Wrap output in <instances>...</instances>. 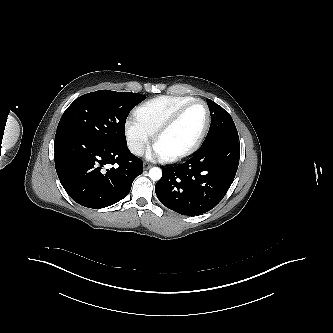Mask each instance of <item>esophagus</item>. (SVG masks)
I'll use <instances>...</instances> for the list:
<instances>
[{
	"label": "esophagus",
	"mask_w": 333,
	"mask_h": 333,
	"mask_svg": "<svg viewBox=\"0 0 333 333\" xmlns=\"http://www.w3.org/2000/svg\"><path fill=\"white\" fill-rule=\"evenodd\" d=\"M152 167V165H150V164H148V163H144L143 164V168H144V170H148V169H150Z\"/></svg>",
	"instance_id": "1"
}]
</instances>
